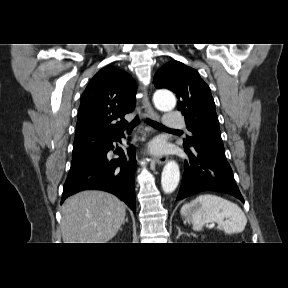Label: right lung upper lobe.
<instances>
[{
  "mask_svg": "<svg viewBox=\"0 0 288 288\" xmlns=\"http://www.w3.org/2000/svg\"><path fill=\"white\" fill-rule=\"evenodd\" d=\"M135 93L128 73L113 66L98 71L81 97L73 152L88 153L123 134L124 116L135 108Z\"/></svg>",
  "mask_w": 288,
  "mask_h": 288,
  "instance_id": "1",
  "label": "right lung upper lobe"
}]
</instances>
